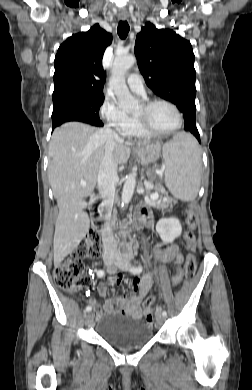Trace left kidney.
Segmentation results:
<instances>
[{"label":"left kidney","instance_id":"1","mask_svg":"<svg viewBox=\"0 0 252 390\" xmlns=\"http://www.w3.org/2000/svg\"><path fill=\"white\" fill-rule=\"evenodd\" d=\"M156 231L162 241L171 243L181 235L182 226L177 218H162L156 224Z\"/></svg>","mask_w":252,"mask_h":390}]
</instances>
